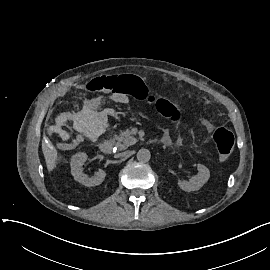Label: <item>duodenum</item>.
<instances>
[{
	"label": "duodenum",
	"mask_w": 270,
	"mask_h": 270,
	"mask_svg": "<svg viewBox=\"0 0 270 270\" xmlns=\"http://www.w3.org/2000/svg\"><path fill=\"white\" fill-rule=\"evenodd\" d=\"M112 148H113V142L111 140H104L99 145L100 151L103 152L104 154L111 153Z\"/></svg>",
	"instance_id": "obj_1"
}]
</instances>
